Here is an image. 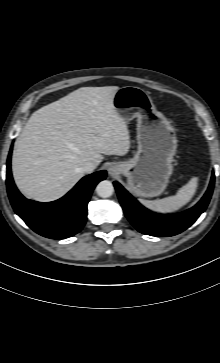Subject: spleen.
Listing matches in <instances>:
<instances>
[{"instance_id": "spleen-1", "label": "spleen", "mask_w": 220, "mask_h": 363, "mask_svg": "<svg viewBox=\"0 0 220 363\" xmlns=\"http://www.w3.org/2000/svg\"><path fill=\"white\" fill-rule=\"evenodd\" d=\"M198 185V178L193 177L190 181L182 186L176 195L169 196L159 200L139 199L140 203L151 211L167 214L173 213L186 205L194 196Z\"/></svg>"}]
</instances>
